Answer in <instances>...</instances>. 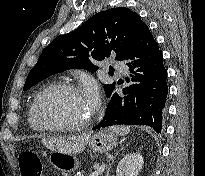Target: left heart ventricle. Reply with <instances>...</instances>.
Instances as JSON below:
<instances>
[{"instance_id":"b2bd125f","label":"left heart ventricle","mask_w":205,"mask_h":176,"mask_svg":"<svg viewBox=\"0 0 205 176\" xmlns=\"http://www.w3.org/2000/svg\"><path fill=\"white\" fill-rule=\"evenodd\" d=\"M92 109L81 93L56 91L46 96L39 106V117L44 122L78 124Z\"/></svg>"}]
</instances>
